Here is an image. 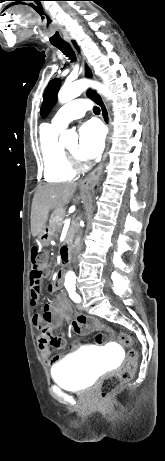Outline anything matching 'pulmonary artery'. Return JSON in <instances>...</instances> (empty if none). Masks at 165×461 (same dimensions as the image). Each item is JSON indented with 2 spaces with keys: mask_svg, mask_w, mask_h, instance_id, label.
Returning <instances> with one entry per match:
<instances>
[{
  "mask_svg": "<svg viewBox=\"0 0 165 461\" xmlns=\"http://www.w3.org/2000/svg\"><path fill=\"white\" fill-rule=\"evenodd\" d=\"M90 108V103L85 99L70 101L58 110L52 119V125L58 128L65 127L70 121L81 118Z\"/></svg>",
  "mask_w": 165,
  "mask_h": 461,
  "instance_id": "obj_1",
  "label": "pulmonary artery"
}]
</instances>
